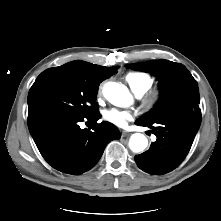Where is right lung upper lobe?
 I'll return each mask as SVG.
<instances>
[{"label": "right lung upper lobe", "mask_w": 221, "mask_h": 221, "mask_svg": "<svg viewBox=\"0 0 221 221\" xmlns=\"http://www.w3.org/2000/svg\"><path fill=\"white\" fill-rule=\"evenodd\" d=\"M117 69L118 67L116 66L109 68L91 64L85 61H73L59 67L47 69L42 72L37 79L43 78L52 73L64 72L89 83L99 85L103 80L109 78L111 75H114L117 72ZM29 115H34V113L29 111L28 116Z\"/></svg>", "instance_id": "right-lung-upper-lobe-1"}]
</instances>
